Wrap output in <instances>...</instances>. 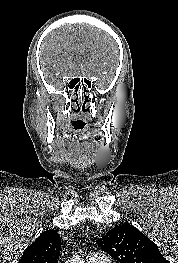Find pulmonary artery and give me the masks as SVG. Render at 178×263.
<instances>
[{"label": "pulmonary artery", "mask_w": 178, "mask_h": 263, "mask_svg": "<svg viewBox=\"0 0 178 263\" xmlns=\"http://www.w3.org/2000/svg\"><path fill=\"white\" fill-rule=\"evenodd\" d=\"M88 263H110V261L104 254L92 252L88 256Z\"/></svg>", "instance_id": "obj_1"}]
</instances>
